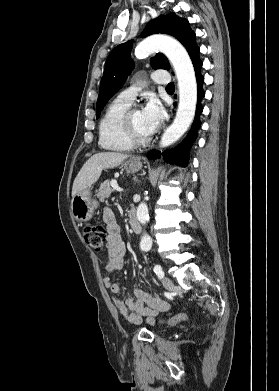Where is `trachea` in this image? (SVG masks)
<instances>
[{
	"mask_svg": "<svg viewBox=\"0 0 279 391\" xmlns=\"http://www.w3.org/2000/svg\"><path fill=\"white\" fill-rule=\"evenodd\" d=\"M166 89H174V84L173 83H169L167 85Z\"/></svg>",
	"mask_w": 279,
	"mask_h": 391,
	"instance_id": "3493384b",
	"label": "trachea"
}]
</instances>
